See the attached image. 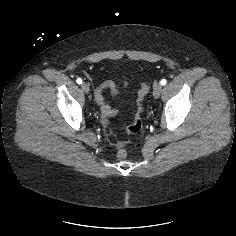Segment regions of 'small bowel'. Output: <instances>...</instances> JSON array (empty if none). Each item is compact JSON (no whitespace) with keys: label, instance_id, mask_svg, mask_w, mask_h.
Masks as SVG:
<instances>
[{"label":"small bowel","instance_id":"1","mask_svg":"<svg viewBox=\"0 0 236 236\" xmlns=\"http://www.w3.org/2000/svg\"><path fill=\"white\" fill-rule=\"evenodd\" d=\"M124 86L127 87V82H124ZM109 89L112 93V96L114 98H119L120 94L118 91L117 86L112 81H105L103 82L94 93L95 101L98 103V105L101 108V114L104 120H108L109 118L115 116L118 114V110L111 108L104 99L103 96V90Z\"/></svg>","mask_w":236,"mask_h":236}]
</instances>
